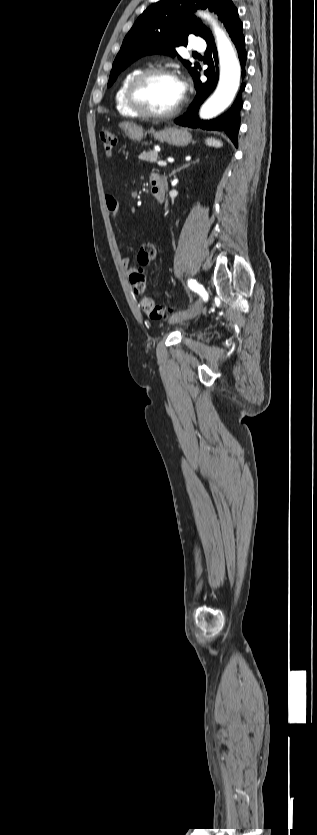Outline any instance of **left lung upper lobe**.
Instances as JSON below:
<instances>
[{
	"instance_id": "1",
	"label": "left lung upper lobe",
	"mask_w": 317,
	"mask_h": 835,
	"mask_svg": "<svg viewBox=\"0 0 317 835\" xmlns=\"http://www.w3.org/2000/svg\"><path fill=\"white\" fill-rule=\"evenodd\" d=\"M228 1L230 0H161L151 5L138 17L125 36L113 63L108 87L121 71L144 55H176L174 46L186 45L189 34L199 35L207 41L212 34L192 15L193 12L198 8H209L210 11H215L225 24L228 14L224 9ZM184 65L192 76L199 67L198 64H195L194 68L190 67L188 61H184Z\"/></svg>"
}]
</instances>
